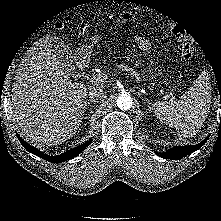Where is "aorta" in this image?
Returning <instances> with one entry per match:
<instances>
[{"instance_id":"obj_1","label":"aorta","mask_w":221,"mask_h":221,"mask_svg":"<svg viewBox=\"0 0 221 221\" xmlns=\"http://www.w3.org/2000/svg\"><path fill=\"white\" fill-rule=\"evenodd\" d=\"M117 106L121 110H129L132 107V98L127 94H121L117 98Z\"/></svg>"}]
</instances>
